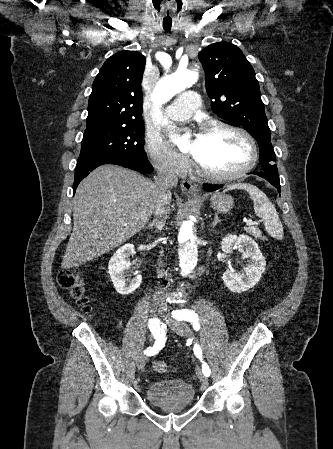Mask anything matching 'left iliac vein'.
<instances>
[{"instance_id":"1","label":"left iliac vein","mask_w":333,"mask_h":449,"mask_svg":"<svg viewBox=\"0 0 333 449\" xmlns=\"http://www.w3.org/2000/svg\"><path fill=\"white\" fill-rule=\"evenodd\" d=\"M162 318L166 322V324L179 336L181 337H190L191 336V330L189 327L179 321H175L171 318L168 309H164L162 313ZM197 377L199 380L203 383V385L208 384V378L203 374V372L200 369L196 370Z\"/></svg>"}]
</instances>
